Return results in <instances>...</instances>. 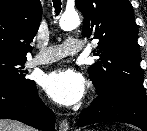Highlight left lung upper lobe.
Masks as SVG:
<instances>
[{
	"label": "left lung upper lobe",
	"mask_w": 147,
	"mask_h": 131,
	"mask_svg": "<svg viewBox=\"0 0 147 131\" xmlns=\"http://www.w3.org/2000/svg\"><path fill=\"white\" fill-rule=\"evenodd\" d=\"M84 16L83 37L98 39L97 63L88 68L100 96L119 90L145 93L138 27L128 0H76Z\"/></svg>",
	"instance_id": "obj_1"
}]
</instances>
